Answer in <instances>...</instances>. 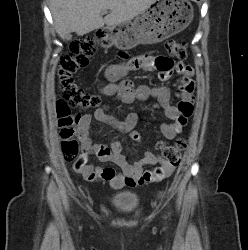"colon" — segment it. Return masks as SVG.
Listing matches in <instances>:
<instances>
[{
  "label": "colon",
  "mask_w": 248,
  "mask_h": 250,
  "mask_svg": "<svg viewBox=\"0 0 248 250\" xmlns=\"http://www.w3.org/2000/svg\"><path fill=\"white\" fill-rule=\"evenodd\" d=\"M165 48L174 58L183 59L187 56V47L183 42L168 40L165 43ZM94 52L95 39L93 37L82 36L74 40L70 45L69 52L60 59L57 72L58 84L62 91V96L56 107L62 140V154L65 161L73 162L79 166L87 164V161L85 155L81 153L77 140L76 126L79 118L73 113V110L97 109L100 105V98L82 88L75 81L74 75L89 64ZM185 111L190 115L192 108H185ZM134 136L140 138L137 132L134 133ZM157 147L168 165L175 168L181 161L186 142L183 139H178L174 144L159 142ZM165 173L166 170L157 169L154 172L148 171L145 177L160 179Z\"/></svg>",
  "instance_id": "1"
}]
</instances>
